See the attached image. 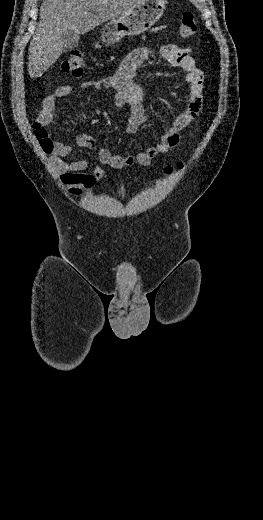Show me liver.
Segmentation results:
<instances>
[{"label":"liver","mask_w":263,"mask_h":520,"mask_svg":"<svg viewBox=\"0 0 263 520\" xmlns=\"http://www.w3.org/2000/svg\"><path fill=\"white\" fill-rule=\"evenodd\" d=\"M144 0H44L40 22L31 40L28 72L37 78L60 57L63 35L85 34L96 26L118 18Z\"/></svg>","instance_id":"1"}]
</instances>
